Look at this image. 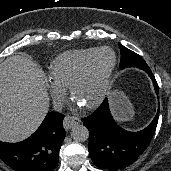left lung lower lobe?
I'll list each match as a JSON object with an SVG mask.
<instances>
[{"instance_id":"left-lung-lower-lobe-1","label":"left lung lower lobe","mask_w":171,"mask_h":171,"mask_svg":"<svg viewBox=\"0 0 171 171\" xmlns=\"http://www.w3.org/2000/svg\"><path fill=\"white\" fill-rule=\"evenodd\" d=\"M147 74L153 81L158 95V84L151 70ZM159 109L153 121L145 129L129 132L116 124L109 110L108 100L90 116L82 118L89 129V153L94 164L107 171H116L132 164L141 155L156 130Z\"/></svg>"}]
</instances>
